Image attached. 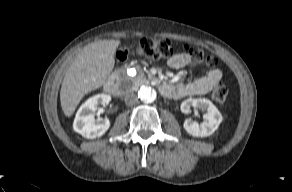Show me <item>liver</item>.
Wrapping results in <instances>:
<instances>
[{"label": "liver", "instance_id": "obj_1", "mask_svg": "<svg viewBox=\"0 0 292 192\" xmlns=\"http://www.w3.org/2000/svg\"><path fill=\"white\" fill-rule=\"evenodd\" d=\"M119 44V40L94 42L76 55L61 85L60 102L65 116H72L87 93L106 83L114 68V53Z\"/></svg>", "mask_w": 292, "mask_h": 192}]
</instances>
